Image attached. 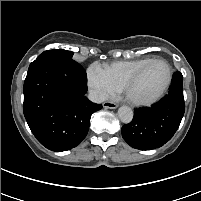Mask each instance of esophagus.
<instances>
[{
	"mask_svg": "<svg viewBox=\"0 0 201 201\" xmlns=\"http://www.w3.org/2000/svg\"><path fill=\"white\" fill-rule=\"evenodd\" d=\"M103 107L106 108V109L107 108H109V109H115V108L118 107V105L116 103H114V102L106 101V102L103 103Z\"/></svg>",
	"mask_w": 201,
	"mask_h": 201,
	"instance_id": "1",
	"label": "esophagus"
}]
</instances>
